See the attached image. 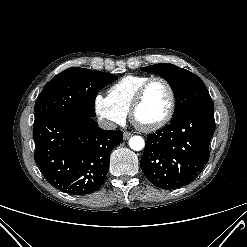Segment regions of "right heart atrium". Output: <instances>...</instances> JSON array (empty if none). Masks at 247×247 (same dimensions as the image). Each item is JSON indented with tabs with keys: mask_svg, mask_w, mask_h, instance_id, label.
<instances>
[{
	"mask_svg": "<svg viewBox=\"0 0 247 247\" xmlns=\"http://www.w3.org/2000/svg\"><path fill=\"white\" fill-rule=\"evenodd\" d=\"M94 109L98 117L109 126L120 125L127 117V111L117 106L108 95L102 93L95 96Z\"/></svg>",
	"mask_w": 247,
	"mask_h": 247,
	"instance_id": "right-heart-atrium-1",
	"label": "right heart atrium"
}]
</instances>
